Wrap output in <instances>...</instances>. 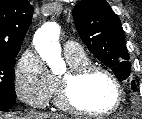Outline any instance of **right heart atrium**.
Segmentation results:
<instances>
[{"mask_svg":"<svg viewBox=\"0 0 142 119\" xmlns=\"http://www.w3.org/2000/svg\"><path fill=\"white\" fill-rule=\"evenodd\" d=\"M14 86L23 102L34 107L48 104L53 92V78L35 52L27 50L20 57L15 69Z\"/></svg>","mask_w":142,"mask_h":119,"instance_id":"d8ad5b80","label":"right heart atrium"}]
</instances>
